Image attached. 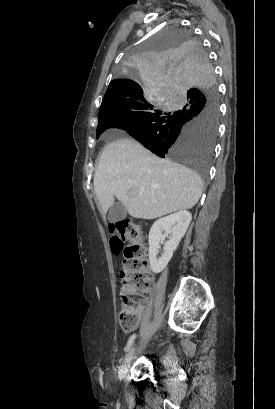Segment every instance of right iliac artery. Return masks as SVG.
I'll use <instances>...</instances> for the list:
<instances>
[{
    "mask_svg": "<svg viewBox=\"0 0 275 409\" xmlns=\"http://www.w3.org/2000/svg\"><path fill=\"white\" fill-rule=\"evenodd\" d=\"M136 336H137L136 334H133V335L130 336V338H129L128 342H127V345H126V347L124 349L125 352L129 351L131 345L133 344L134 340L136 339Z\"/></svg>",
    "mask_w": 275,
    "mask_h": 409,
    "instance_id": "1",
    "label": "right iliac artery"
}]
</instances>
